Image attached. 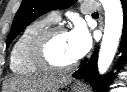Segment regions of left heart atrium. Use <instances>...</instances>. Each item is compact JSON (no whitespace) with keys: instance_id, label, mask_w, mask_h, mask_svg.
I'll list each match as a JSON object with an SVG mask.
<instances>
[{"instance_id":"left-heart-atrium-1","label":"left heart atrium","mask_w":127,"mask_h":92,"mask_svg":"<svg viewBox=\"0 0 127 92\" xmlns=\"http://www.w3.org/2000/svg\"><path fill=\"white\" fill-rule=\"evenodd\" d=\"M68 41L71 52L76 60L85 56L92 45L91 35L82 23H77L68 32Z\"/></svg>"}]
</instances>
